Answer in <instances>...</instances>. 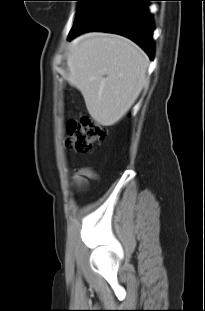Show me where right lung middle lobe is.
<instances>
[{
    "label": "right lung middle lobe",
    "mask_w": 205,
    "mask_h": 311,
    "mask_svg": "<svg viewBox=\"0 0 205 311\" xmlns=\"http://www.w3.org/2000/svg\"><path fill=\"white\" fill-rule=\"evenodd\" d=\"M77 1H80V4H79L78 10H77V14H76L74 24H76L79 21V18L81 17L83 12L87 8L90 0H77Z\"/></svg>",
    "instance_id": "1"
}]
</instances>
